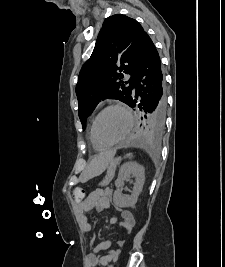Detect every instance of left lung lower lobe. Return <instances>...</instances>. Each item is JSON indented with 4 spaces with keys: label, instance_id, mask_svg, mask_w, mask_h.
Masks as SVG:
<instances>
[{
    "label": "left lung lower lobe",
    "instance_id": "0a47b994",
    "mask_svg": "<svg viewBox=\"0 0 225 267\" xmlns=\"http://www.w3.org/2000/svg\"><path fill=\"white\" fill-rule=\"evenodd\" d=\"M131 108H139L141 117L152 115L156 123L165 122L166 95L161 61L156 47L147 35L133 77Z\"/></svg>",
    "mask_w": 225,
    "mask_h": 267
}]
</instances>
